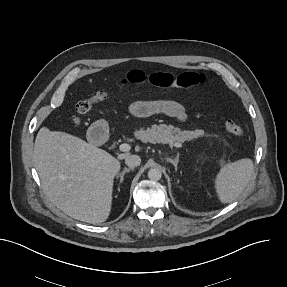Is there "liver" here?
<instances>
[{"label": "liver", "mask_w": 287, "mask_h": 287, "mask_svg": "<svg viewBox=\"0 0 287 287\" xmlns=\"http://www.w3.org/2000/svg\"><path fill=\"white\" fill-rule=\"evenodd\" d=\"M79 137L42 127L35 140L34 164L42 188L57 208L91 224L105 222L111 212L119 160Z\"/></svg>", "instance_id": "obj_1"}]
</instances>
